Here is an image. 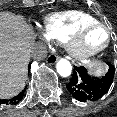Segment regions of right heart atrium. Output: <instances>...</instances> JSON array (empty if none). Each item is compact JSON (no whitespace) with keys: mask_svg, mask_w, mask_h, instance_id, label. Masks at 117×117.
<instances>
[{"mask_svg":"<svg viewBox=\"0 0 117 117\" xmlns=\"http://www.w3.org/2000/svg\"><path fill=\"white\" fill-rule=\"evenodd\" d=\"M40 33H41L43 39H44L46 42L49 43V42H50L49 36H48L43 30H40Z\"/></svg>","mask_w":117,"mask_h":117,"instance_id":"1","label":"right heart atrium"}]
</instances>
